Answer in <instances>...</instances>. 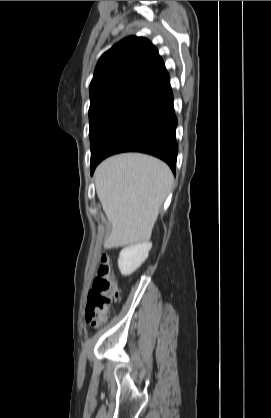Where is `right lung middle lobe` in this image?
<instances>
[{"instance_id":"right-lung-middle-lobe-1","label":"right lung middle lobe","mask_w":271,"mask_h":418,"mask_svg":"<svg viewBox=\"0 0 271 418\" xmlns=\"http://www.w3.org/2000/svg\"><path fill=\"white\" fill-rule=\"evenodd\" d=\"M151 105L134 97H118L90 105L91 163L119 130Z\"/></svg>"}]
</instances>
